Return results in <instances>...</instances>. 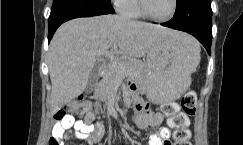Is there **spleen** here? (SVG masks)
<instances>
[{"instance_id": "obj_1", "label": "spleen", "mask_w": 243, "mask_h": 145, "mask_svg": "<svg viewBox=\"0 0 243 145\" xmlns=\"http://www.w3.org/2000/svg\"><path fill=\"white\" fill-rule=\"evenodd\" d=\"M200 62V55L197 56V64Z\"/></svg>"}]
</instances>
